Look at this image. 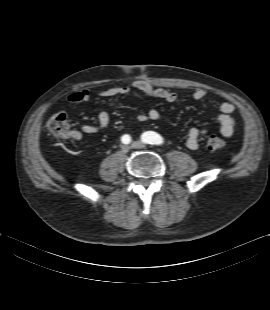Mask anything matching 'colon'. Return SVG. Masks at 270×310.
<instances>
[{"instance_id": "1", "label": "colon", "mask_w": 270, "mask_h": 310, "mask_svg": "<svg viewBox=\"0 0 270 310\" xmlns=\"http://www.w3.org/2000/svg\"><path fill=\"white\" fill-rule=\"evenodd\" d=\"M47 129L56 139H75V132L70 129L67 114L57 112L47 123ZM225 146V140L218 135H210L207 139V147L210 150H220Z\"/></svg>"}]
</instances>
